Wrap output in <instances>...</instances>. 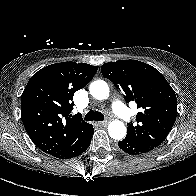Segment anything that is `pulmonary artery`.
Wrapping results in <instances>:
<instances>
[{"mask_svg":"<svg viewBox=\"0 0 196 196\" xmlns=\"http://www.w3.org/2000/svg\"><path fill=\"white\" fill-rule=\"evenodd\" d=\"M111 108L115 115L121 119H127L130 116V111L118 100L111 102Z\"/></svg>","mask_w":196,"mask_h":196,"instance_id":"1","label":"pulmonary artery"}]
</instances>
